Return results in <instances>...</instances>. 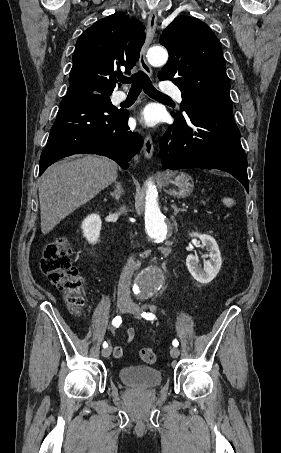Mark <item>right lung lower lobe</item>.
Returning a JSON list of instances; mask_svg holds the SVG:
<instances>
[{"label":"right lung lower lobe","instance_id":"obj_1","mask_svg":"<svg viewBox=\"0 0 281 453\" xmlns=\"http://www.w3.org/2000/svg\"><path fill=\"white\" fill-rule=\"evenodd\" d=\"M128 116L108 96H65L41 154L39 175L61 158L83 153L107 156L128 168L142 147L140 135L129 130Z\"/></svg>","mask_w":281,"mask_h":453}]
</instances>
